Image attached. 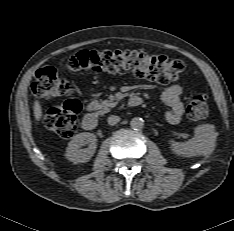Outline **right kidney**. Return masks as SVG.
Listing matches in <instances>:
<instances>
[{
  "label": "right kidney",
  "instance_id": "1",
  "mask_svg": "<svg viewBox=\"0 0 234 231\" xmlns=\"http://www.w3.org/2000/svg\"><path fill=\"white\" fill-rule=\"evenodd\" d=\"M86 144L88 147L82 149ZM96 148L97 139L93 133H79L68 143L65 156L73 163H85L94 155Z\"/></svg>",
  "mask_w": 234,
  "mask_h": 231
}]
</instances>
